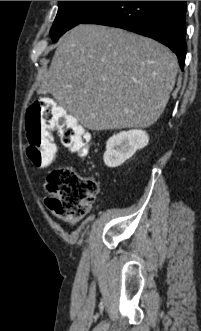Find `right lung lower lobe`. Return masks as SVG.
Returning <instances> with one entry per match:
<instances>
[{"label":"right lung lower lobe","mask_w":201,"mask_h":331,"mask_svg":"<svg viewBox=\"0 0 201 331\" xmlns=\"http://www.w3.org/2000/svg\"><path fill=\"white\" fill-rule=\"evenodd\" d=\"M186 1H109L83 24H100L151 37L173 50L183 70Z\"/></svg>","instance_id":"right-lung-lower-lobe-1"}]
</instances>
